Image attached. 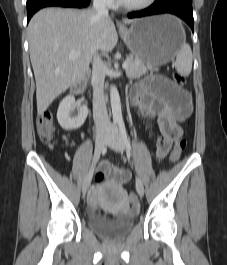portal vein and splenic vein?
Wrapping results in <instances>:
<instances>
[{
  "label": "portal vein and splenic vein",
  "mask_w": 227,
  "mask_h": 265,
  "mask_svg": "<svg viewBox=\"0 0 227 265\" xmlns=\"http://www.w3.org/2000/svg\"><path fill=\"white\" fill-rule=\"evenodd\" d=\"M80 54L81 53L79 51H77V52H71L69 54V58L70 59H77L80 56ZM122 67H123V69L126 70L128 68V63L127 62H124L123 65H122Z\"/></svg>",
  "instance_id": "18ae733b"
}]
</instances>
